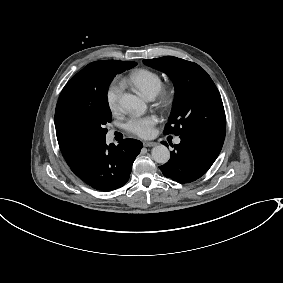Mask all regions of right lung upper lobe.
I'll return each mask as SVG.
<instances>
[{
    "mask_svg": "<svg viewBox=\"0 0 283 283\" xmlns=\"http://www.w3.org/2000/svg\"><path fill=\"white\" fill-rule=\"evenodd\" d=\"M118 60H103L88 64L63 88L55 111V128L60 150L69 166L82 159L96 144L105 140L87 133L72 120L69 108L77 101L97 94L107 80V73Z\"/></svg>",
    "mask_w": 283,
    "mask_h": 283,
    "instance_id": "1",
    "label": "right lung upper lobe"
}]
</instances>
